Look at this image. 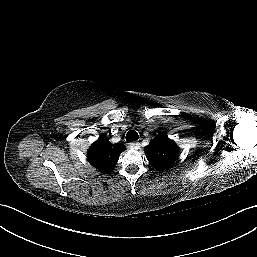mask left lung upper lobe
<instances>
[{"label":"left lung upper lobe","mask_w":257,"mask_h":257,"mask_svg":"<svg viewBox=\"0 0 257 257\" xmlns=\"http://www.w3.org/2000/svg\"><path fill=\"white\" fill-rule=\"evenodd\" d=\"M150 164L158 170L171 166L177 159L179 147L166 135H157L144 149Z\"/></svg>","instance_id":"left-lung-upper-lobe-1"}]
</instances>
